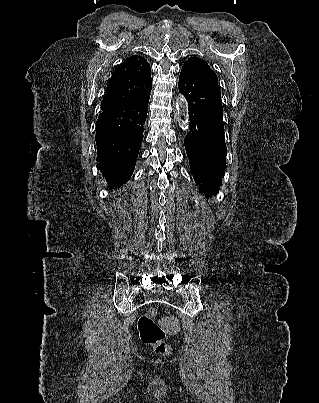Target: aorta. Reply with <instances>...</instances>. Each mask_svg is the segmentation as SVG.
Masks as SVG:
<instances>
[{
	"label": "aorta",
	"mask_w": 319,
	"mask_h": 403,
	"mask_svg": "<svg viewBox=\"0 0 319 403\" xmlns=\"http://www.w3.org/2000/svg\"><path fill=\"white\" fill-rule=\"evenodd\" d=\"M176 115L179 126L183 130H188L189 128V109L188 102L184 96L179 95L176 98Z\"/></svg>",
	"instance_id": "1"
}]
</instances>
